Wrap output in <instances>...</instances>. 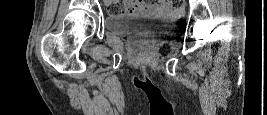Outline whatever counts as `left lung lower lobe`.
I'll use <instances>...</instances> for the list:
<instances>
[{"label":"left lung lower lobe","instance_id":"1","mask_svg":"<svg viewBox=\"0 0 267 115\" xmlns=\"http://www.w3.org/2000/svg\"><path fill=\"white\" fill-rule=\"evenodd\" d=\"M137 87H145V86H141V85H136ZM147 88H149V89H151V90H153V91H159L157 88H155L154 86H149V87H147Z\"/></svg>","mask_w":267,"mask_h":115}]
</instances>
